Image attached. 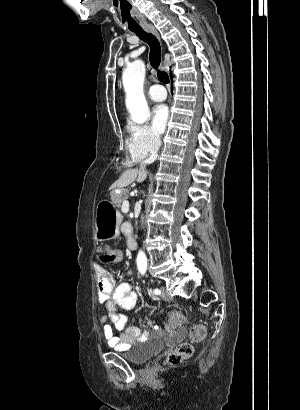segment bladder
Masks as SVG:
<instances>
[{
    "label": "bladder",
    "mask_w": 300,
    "mask_h": 410,
    "mask_svg": "<svg viewBox=\"0 0 300 410\" xmlns=\"http://www.w3.org/2000/svg\"><path fill=\"white\" fill-rule=\"evenodd\" d=\"M162 348V343H137L132 349L123 352L122 356L134 365H141L150 360Z\"/></svg>",
    "instance_id": "1"
}]
</instances>
